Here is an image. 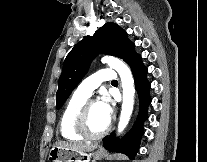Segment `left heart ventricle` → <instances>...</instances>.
I'll use <instances>...</instances> for the list:
<instances>
[{
    "label": "left heart ventricle",
    "mask_w": 207,
    "mask_h": 162,
    "mask_svg": "<svg viewBox=\"0 0 207 162\" xmlns=\"http://www.w3.org/2000/svg\"><path fill=\"white\" fill-rule=\"evenodd\" d=\"M109 121L99 103L91 106L86 121L89 132L94 134L101 132L106 128Z\"/></svg>",
    "instance_id": "left-heart-ventricle-1"
}]
</instances>
